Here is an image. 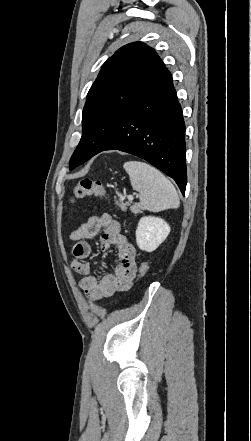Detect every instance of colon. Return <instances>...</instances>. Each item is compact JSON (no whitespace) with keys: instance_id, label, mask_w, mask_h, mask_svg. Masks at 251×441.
Masks as SVG:
<instances>
[{"instance_id":"1","label":"colon","mask_w":251,"mask_h":441,"mask_svg":"<svg viewBox=\"0 0 251 441\" xmlns=\"http://www.w3.org/2000/svg\"><path fill=\"white\" fill-rule=\"evenodd\" d=\"M106 190L102 182L90 178L81 179L72 191V199H81L85 197H94L103 199ZM148 270V263L143 262L140 266V275H144Z\"/></svg>"}]
</instances>
